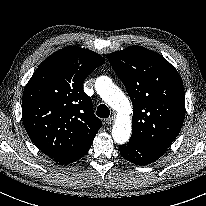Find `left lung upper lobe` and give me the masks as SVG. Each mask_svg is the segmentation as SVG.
Returning <instances> with one entry per match:
<instances>
[{
    "mask_svg": "<svg viewBox=\"0 0 206 206\" xmlns=\"http://www.w3.org/2000/svg\"><path fill=\"white\" fill-rule=\"evenodd\" d=\"M107 58L133 104L130 140L166 150L185 117V93L177 70L162 55L140 46Z\"/></svg>",
    "mask_w": 206,
    "mask_h": 206,
    "instance_id": "obj_1",
    "label": "left lung upper lobe"
}]
</instances>
